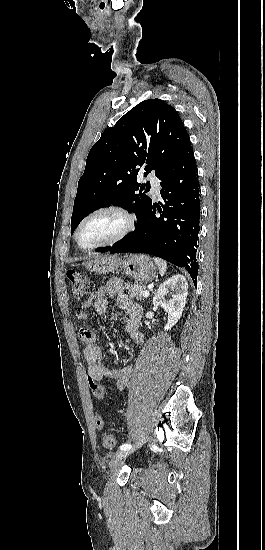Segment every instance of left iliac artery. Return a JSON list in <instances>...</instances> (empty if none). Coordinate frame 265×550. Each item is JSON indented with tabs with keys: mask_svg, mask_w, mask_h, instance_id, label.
Masks as SVG:
<instances>
[{
	"mask_svg": "<svg viewBox=\"0 0 265 550\" xmlns=\"http://www.w3.org/2000/svg\"><path fill=\"white\" fill-rule=\"evenodd\" d=\"M131 448H132L131 444H123V445L120 446V450H122V451L129 450Z\"/></svg>",
	"mask_w": 265,
	"mask_h": 550,
	"instance_id": "left-iliac-artery-1",
	"label": "left iliac artery"
}]
</instances>
